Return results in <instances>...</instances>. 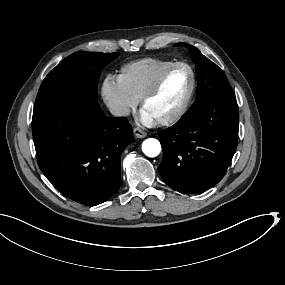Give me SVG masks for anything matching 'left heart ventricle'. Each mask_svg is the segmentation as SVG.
Returning a JSON list of instances; mask_svg holds the SVG:
<instances>
[{
	"label": "left heart ventricle",
	"mask_w": 285,
	"mask_h": 285,
	"mask_svg": "<svg viewBox=\"0 0 285 285\" xmlns=\"http://www.w3.org/2000/svg\"><path fill=\"white\" fill-rule=\"evenodd\" d=\"M190 83L185 73L173 74L161 90L152 96L144 105V109L157 119L175 112L184 102Z\"/></svg>",
	"instance_id": "obj_1"
}]
</instances>
